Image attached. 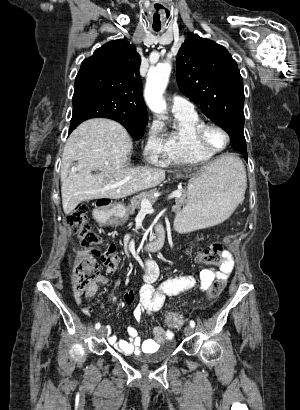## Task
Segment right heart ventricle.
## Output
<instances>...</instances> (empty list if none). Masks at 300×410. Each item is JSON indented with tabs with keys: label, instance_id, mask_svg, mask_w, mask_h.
Wrapping results in <instances>:
<instances>
[{
	"label": "right heart ventricle",
	"instance_id": "right-heart-ventricle-1",
	"mask_svg": "<svg viewBox=\"0 0 300 410\" xmlns=\"http://www.w3.org/2000/svg\"><path fill=\"white\" fill-rule=\"evenodd\" d=\"M173 113L175 124L164 136L161 163L191 165L210 160L214 154L200 148L196 140L197 130L204 123L198 113Z\"/></svg>",
	"mask_w": 300,
	"mask_h": 410
}]
</instances>
